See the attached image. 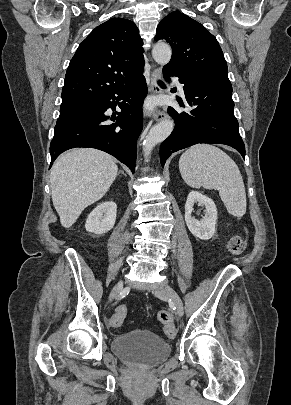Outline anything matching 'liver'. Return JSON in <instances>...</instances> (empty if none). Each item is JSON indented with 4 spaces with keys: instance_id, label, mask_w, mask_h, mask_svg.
I'll return each mask as SVG.
<instances>
[{
    "instance_id": "6515ba94",
    "label": "liver",
    "mask_w": 291,
    "mask_h": 405,
    "mask_svg": "<svg viewBox=\"0 0 291 405\" xmlns=\"http://www.w3.org/2000/svg\"><path fill=\"white\" fill-rule=\"evenodd\" d=\"M118 172L115 159L100 150L76 148L61 154L51 168L53 205L64 228H70L82 211L100 200Z\"/></svg>"
}]
</instances>
